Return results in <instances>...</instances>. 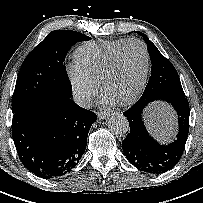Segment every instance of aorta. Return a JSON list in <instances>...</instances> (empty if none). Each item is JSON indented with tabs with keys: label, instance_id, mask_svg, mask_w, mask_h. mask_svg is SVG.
Segmentation results:
<instances>
[{
	"label": "aorta",
	"instance_id": "obj_1",
	"mask_svg": "<svg viewBox=\"0 0 203 203\" xmlns=\"http://www.w3.org/2000/svg\"><path fill=\"white\" fill-rule=\"evenodd\" d=\"M108 126L114 134L119 136H124L130 129L127 118L120 113H114L110 116Z\"/></svg>",
	"mask_w": 203,
	"mask_h": 203
}]
</instances>
